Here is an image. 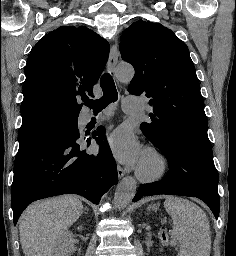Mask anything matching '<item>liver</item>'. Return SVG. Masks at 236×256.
Wrapping results in <instances>:
<instances>
[{
    "mask_svg": "<svg viewBox=\"0 0 236 256\" xmlns=\"http://www.w3.org/2000/svg\"><path fill=\"white\" fill-rule=\"evenodd\" d=\"M82 212L83 206L76 196H60L29 206L19 226L25 256H60L57 242L63 240Z\"/></svg>",
    "mask_w": 236,
    "mask_h": 256,
    "instance_id": "liver-1",
    "label": "liver"
}]
</instances>
